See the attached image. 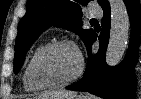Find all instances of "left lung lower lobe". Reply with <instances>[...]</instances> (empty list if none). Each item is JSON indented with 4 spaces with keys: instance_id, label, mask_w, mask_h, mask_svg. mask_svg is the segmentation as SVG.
I'll use <instances>...</instances> for the list:
<instances>
[{
    "instance_id": "1",
    "label": "left lung lower lobe",
    "mask_w": 141,
    "mask_h": 99,
    "mask_svg": "<svg viewBox=\"0 0 141 99\" xmlns=\"http://www.w3.org/2000/svg\"><path fill=\"white\" fill-rule=\"evenodd\" d=\"M131 22V38L127 54L119 66L109 67L105 62V53L109 41L110 5L103 7V27L99 35V51L92 55L91 46L96 40L94 33L86 44L88 50L87 67L83 78L75 84L67 86L69 90L86 91L105 99H134L136 79L134 65L137 60V48L140 43L141 6L139 0H124Z\"/></svg>"
}]
</instances>
